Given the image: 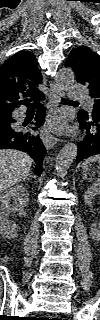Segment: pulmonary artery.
Masks as SVG:
<instances>
[{
	"mask_svg": "<svg viewBox=\"0 0 100 320\" xmlns=\"http://www.w3.org/2000/svg\"><path fill=\"white\" fill-rule=\"evenodd\" d=\"M71 98L73 100H86L88 101L89 105H92L87 89H85L82 86H79V85L72 86Z\"/></svg>",
	"mask_w": 100,
	"mask_h": 320,
	"instance_id": "obj_1",
	"label": "pulmonary artery"
}]
</instances>
